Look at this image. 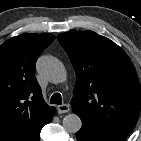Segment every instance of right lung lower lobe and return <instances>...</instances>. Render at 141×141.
Wrapping results in <instances>:
<instances>
[{
  "label": "right lung lower lobe",
  "mask_w": 141,
  "mask_h": 141,
  "mask_svg": "<svg viewBox=\"0 0 141 141\" xmlns=\"http://www.w3.org/2000/svg\"><path fill=\"white\" fill-rule=\"evenodd\" d=\"M33 141H40V135L37 138H35Z\"/></svg>",
  "instance_id": "98d812e1"
}]
</instances>
